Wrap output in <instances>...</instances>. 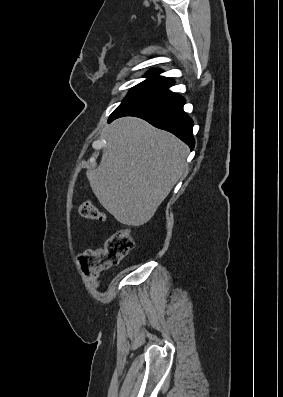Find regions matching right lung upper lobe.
Segmentation results:
<instances>
[{
	"mask_svg": "<svg viewBox=\"0 0 283 397\" xmlns=\"http://www.w3.org/2000/svg\"><path fill=\"white\" fill-rule=\"evenodd\" d=\"M159 73H161V70H152V71L148 72L146 75L148 77H150L149 79H152V80L165 81V82H168L170 85L174 84V81L172 79L167 78V77L158 76Z\"/></svg>",
	"mask_w": 283,
	"mask_h": 397,
	"instance_id": "1",
	"label": "right lung upper lobe"
}]
</instances>
